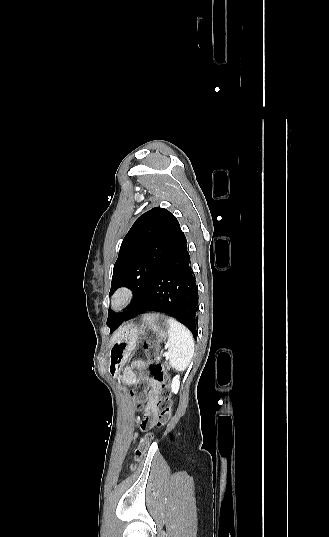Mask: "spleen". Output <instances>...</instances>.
<instances>
[{
  "mask_svg": "<svg viewBox=\"0 0 329 537\" xmlns=\"http://www.w3.org/2000/svg\"><path fill=\"white\" fill-rule=\"evenodd\" d=\"M167 345L170 365L176 370H185L194 354V339L191 332L174 318H169Z\"/></svg>",
  "mask_w": 329,
  "mask_h": 537,
  "instance_id": "3e777b00",
  "label": "spleen"
}]
</instances>
